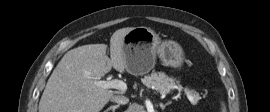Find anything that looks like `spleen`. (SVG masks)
<instances>
[{"label": "spleen", "instance_id": "1", "mask_svg": "<svg viewBox=\"0 0 270 112\" xmlns=\"http://www.w3.org/2000/svg\"><path fill=\"white\" fill-rule=\"evenodd\" d=\"M221 105H222L221 111H222V112H227V111H226L225 104L222 102V104H221Z\"/></svg>", "mask_w": 270, "mask_h": 112}]
</instances>
